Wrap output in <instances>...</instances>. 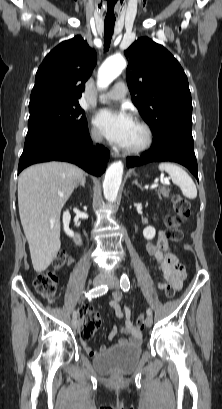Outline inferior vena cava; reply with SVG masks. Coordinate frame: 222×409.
I'll return each instance as SVG.
<instances>
[{"label":"inferior vena cava","mask_w":222,"mask_h":409,"mask_svg":"<svg viewBox=\"0 0 222 409\" xmlns=\"http://www.w3.org/2000/svg\"><path fill=\"white\" fill-rule=\"evenodd\" d=\"M93 139H94L95 141H100V140H101V136H100L98 133H96V134L93 135Z\"/></svg>","instance_id":"obj_1"}]
</instances>
